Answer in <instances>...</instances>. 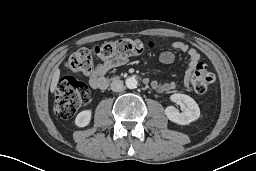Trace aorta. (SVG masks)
<instances>
[{
	"instance_id": "762f6f07",
	"label": "aorta",
	"mask_w": 256,
	"mask_h": 171,
	"mask_svg": "<svg viewBox=\"0 0 256 171\" xmlns=\"http://www.w3.org/2000/svg\"><path fill=\"white\" fill-rule=\"evenodd\" d=\"M127 88L129 89H135L137 88V80L134 77H129L125 81Z\"/></svg>"
}]
</instances>
